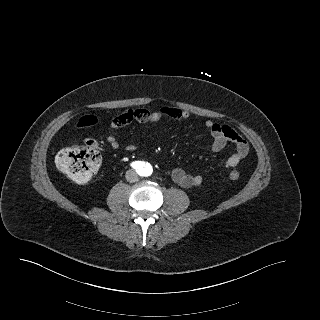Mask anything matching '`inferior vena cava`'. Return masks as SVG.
I'll return each instance as SVG.
<instances>
[{
    "instance_id": "obj_1",
    "label": "inferior vena cava",
    "mask_w": 320,
    "mask_h": 320,
    "mask_svg": "<svg viewBox=\"0 0 320 320\" xmlns=\"http://www.w3.org/2000/svg\"><path fill=\"white\" fill-rule=\"evenodd\" d=\"M125 178L128 182H131V183L136 182L139 179L137 173L132 169L126 172Z\"/></svg>"
}]
</instances>
